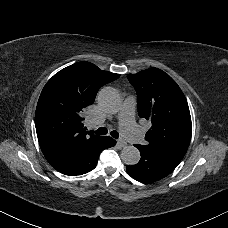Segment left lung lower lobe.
Listing matches in <instances>:
<instances>
[{
  "mask_svg": "<svg viewBox=\"0 0 228 228\" xmlns=\"http://www.w3.org/2000/svg\"><path fill=\"white\" fill-rule=\"evenodd\" d=\"M134 146L139 149L141 159L138 164L127 166L126 170L131 177L143 183H153L166 177L182 160L159 149Z\"/></svg>",
  "mask_w": 228,
  "mask_h": 228,
  "instance_id": "0a47b994",
  "label": "left lung lower lobe"
}]
</instances>
